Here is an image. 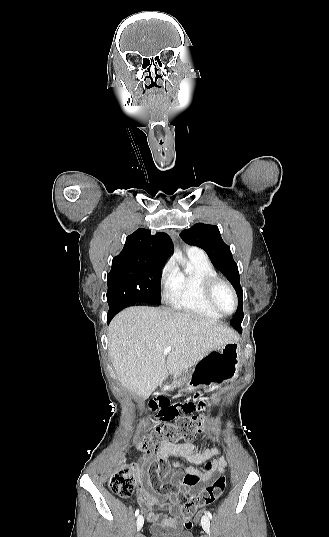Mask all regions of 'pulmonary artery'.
Returning <instances> with one entry per match:
<instances>
[{"label":"pulmonary artery","mask_w":329,"mask_h":537,"mask_svg":"<svg viewBox=\"0 0 329 537\" xmlns=\"http://www.w3.org/2000/svg\"><path fill=\"white\" fill-rule=\"evenodd\" d=\"M188 252L192 255L205 256L204 251L198 247H191Z\"/></svg>","instance_id":"obj_1"}]
</instances>
